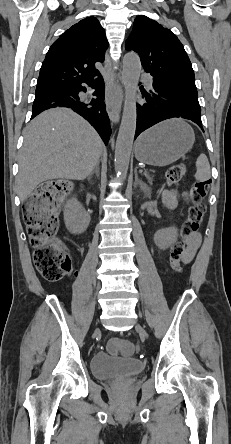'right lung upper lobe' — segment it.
I'll return each instance as SVG.
<instances>
[{
  "mask_svg": "<svg viewBox=\"0 0 231 444\" xmlns=\"http://www.w3.org/2000/svg\"><path fill=\"white\" fill-rule=\"evenodd\" d=\"M105 31L88 17L65 31L50 47L42 63L36 91L100 76L96 62L104 61Z\"/></svg>",
  "mask_w": 231,
  "mask_h": 444,
  "instance_id": "cb5924a9",
  "label": "right lung upper lobe"
}]
</instances>
